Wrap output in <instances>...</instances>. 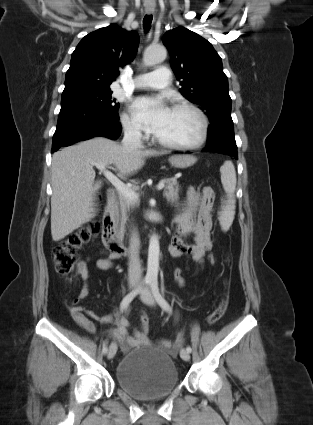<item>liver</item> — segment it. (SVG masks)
Masks as SVG:
<instances>
[{
    "label": "liver",
    "instance_id": "liver-1",
    "mask_svg": "<svg viewBox=\"0 0 313 425\" xmlns=\"http://www.w3.org/2000/svg\"><path fill=\"white\" fill-rule=\"evenodd\" d=\"M166 151L139 148L128 151L118 143L96 137L55 152L52 157L51 235L64 239L94 216L93 201L101 182H95L91 162L113 164L122 177L141 169L146 157Z\"/></svg>",
    "mask_w": 313,
    "mask_h": 425
}]
</instances>
